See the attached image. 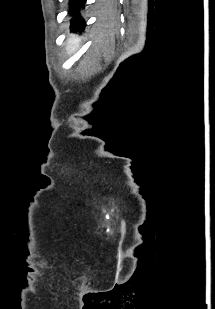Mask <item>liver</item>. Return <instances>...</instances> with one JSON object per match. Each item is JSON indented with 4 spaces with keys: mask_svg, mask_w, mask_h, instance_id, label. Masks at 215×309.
Returning a JSON list of instances; mask_svg holds the SVG:
<instances>
[{
    "mask_svg": "<svg viewBox=\"0 0 215 309\" xmlns=\"http://www.w3.org/2000/svg\"><path fill=\"white\" fill-rule=\"evenodd\" d=\"M80 40L81 38H79V36H76V34H71L69 40H67V50H69V52H75V50H78Z\"/></svg>",
    "mask_w": 215,
    "mask_h": 309,
    "instance_id": "liver-1",
    "label": "liver"
}]
</instances>
